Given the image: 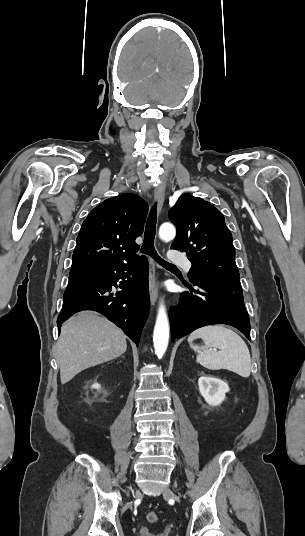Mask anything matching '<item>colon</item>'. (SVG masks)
I'll use <instances>...</instances> for the list:
<instances>
[{"label":"colon","mask_w":305,"mask_h":536,"mask_svg":"<svg viewBox=\"0 0 305 536\" xmlns=\"http://www.w3.org/2000/svg\"><path fill=\"white\" fill-rule=\"evenodd\" d=\"M146 519L149 523H156L159 520V517L156 513L150 512L147 514Z\"/></svg>","instance_id":"1"}]
</instances>
